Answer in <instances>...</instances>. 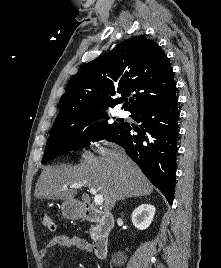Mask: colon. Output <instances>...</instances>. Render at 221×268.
I'll list each match as a JSON object with an SVG mask.
<instances>
[{
    "label": "colon",
    "instance_id": "1",
    "mask_svg": "<svg viewBox=\"0 0 221 268\" xmlns=\"http://www.w3.org/2000/svg\"><path fill=\"white\" fill-rule=\"evenodd\" d=\"M41 222L45 227H47L49 230H55V224L51 218V216L47 212H42L40 214Z\"/></svg>",
    "mask_w": 221,
    "mask_h": 268
}]
</instances>
